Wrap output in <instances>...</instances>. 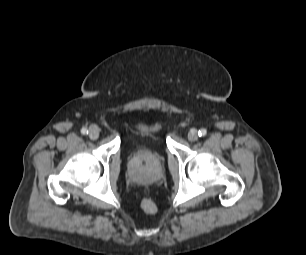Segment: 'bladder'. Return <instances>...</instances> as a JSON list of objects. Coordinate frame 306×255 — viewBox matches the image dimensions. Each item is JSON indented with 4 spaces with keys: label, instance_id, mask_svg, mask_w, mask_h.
Here are the masks:
<instances>
[{
    "label": "bladder",
    "instance_id": "bladder-1",
    "mask_svg": "<svg viewBox=\"0 0 306 255\" xmlns=\"http://www.w3.org/2000/svg\"><path fill=\"white\" fill-rule=\"evenodd\" d=\"M144 139L150 141L151 146L140 143V140ZM127 147L130 154L135 157H158L164 147L161 127L155 123L140 124L129 135Z\"/></svg>",
    "mask_w": 306,
    "mask_h": 255
}]
</instances>
